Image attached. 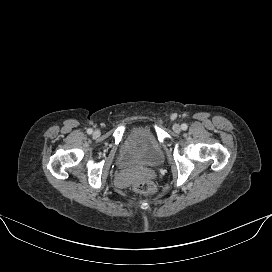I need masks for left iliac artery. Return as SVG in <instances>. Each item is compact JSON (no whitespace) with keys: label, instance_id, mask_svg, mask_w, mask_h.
<instances>
[{"label":"left iliac artery","instance_id":"left-iliac-artery-1","mask_svg":"<svg viewBox=\"0 0 272 272\" xmlns=\"http://www.w3.org/2000/svg\"><path fill=\"white\" fill-rule=\"evenodd\" d=\"M181 128H182V130H186V129L188 128V126H187V124L183 123V124L181 125Z\"/></svg>","mask_w":272,"mask_h":272}]
</instances>
